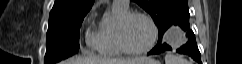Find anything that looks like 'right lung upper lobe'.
Here are the masks:
<instances>
[{
    "mask_svg": "<svg viewBox=\"0 0 242 64\" xmlns=\"http://www.w3.org/2000/svg\"><path fill=\"white\" fill-rule=\"evenodd\" d=\"M94 0H55L49 19L76 16L88 12Z\"/></svg>",
    "mask_w": 242,
    "mask_h": 64,
    "instance_id": "1",
    "label": "right lung upper lobe"
}]
</instances>
